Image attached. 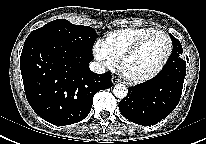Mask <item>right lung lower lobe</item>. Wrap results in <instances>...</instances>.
Returning <instances> with one entry per match:
<instances>
[{
    "label": "right lung lower lobe",
    "instance_id": "obj_1",
    "mask_svg": "<svg viewBox=\"0 0 206 144\" xmlns=\"http://www.w3.org/2000/svg\"><path fill=\"white\" fill-rule=\"evenodd\" d=\"M92 53L55 43L23 47L20 69L27 100L45 121L70 125L90 112L94 94L111 87V74L89 69Z\"/></svg>",
    "mask_w": 206,
    "mask_h": 144
}]
</instances>
